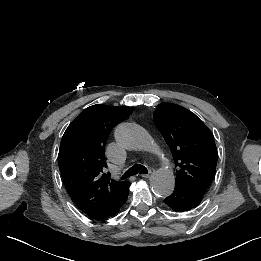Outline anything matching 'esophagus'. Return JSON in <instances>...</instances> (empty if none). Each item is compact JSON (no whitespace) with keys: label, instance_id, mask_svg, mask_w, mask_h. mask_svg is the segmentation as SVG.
<instances>
[{"label":"esophagus","instance_id":"esophagus-1","mask_svg":"<svg viewBox=\"0 0 261 261\" xmlns=\"http://www.w3.org/2000/svg\"><path fill=\"white\" fill-rule=\"evenodd\" d=\"M154 173V169L153 168H149V174H142L141 176L143 178H151L152 174Z\"/></svg>","mask_w":261,"mask_h":261}]
</instances>
